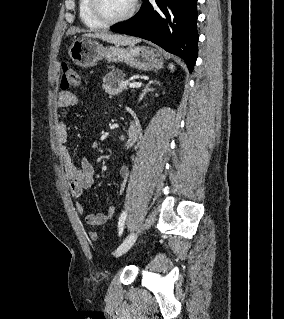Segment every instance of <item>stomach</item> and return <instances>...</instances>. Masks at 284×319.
<instances>
[{
	"label": "stomach",
	"instance_id": "1",
	"mask_svg": "<svg viewBox=\"0 0 284 319\" xmlns=\"http://www.w3.org/2000/svg\"><path fill=\"white\" fill-rule=\"evenodd\" d=\"M69 56L80 67H92L98 60L124 62L141 71L158 70L163 65L161 53L148 46H103L93 38L82 37L73 41Z\"/></svg>",
	"mask_w": 284,
	"mask_h": 319
}]
</instances>
